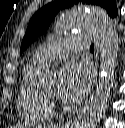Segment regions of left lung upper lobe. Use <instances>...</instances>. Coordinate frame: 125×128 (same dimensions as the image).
Instances as JSON below:
<instances>
[{
	"instance_id": "5c2ea615",
	"label": "left lung upper lobe",
	"mask_w": 125,
	"mask_h": 128,
	"mask_svg": "<svg viewBox=\"0 0 125 128\" xmlns=\"http://www.w3.org/2000/svg\"><path fill=\"white\" fill-rule=\"evenodd\" d=\"M81 3L100 6L106 9L111 17L117 15L115 0H59L48 3L39 9L31 18L21 43L20 54L49 27L50 23L61 9Z\"/></svg>"
}]
</instances>
